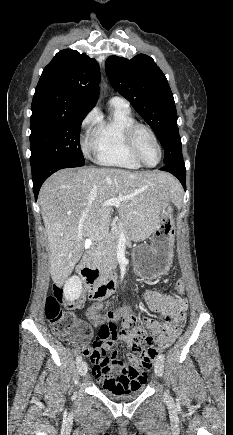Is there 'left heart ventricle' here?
Returning a JSON list of instances; mask_svg holds the SVG:
<instances>
[{
    "mask_svg": "<svg viewBox=\"0 0 233 435\" xmlns=\"http://www.w3.org/2000/svg\"><path fill=\"white\" fill-rule=\"evenodd\" d=\"M137 145L141 157L149 164L154 165L159 160L158 149L152 138L145 131H140L137 135Z\"/></svg>",
    "mask_w": 233,
    "mask_h": 435,
    "instance_id": "obj_1",
    "label": "left heart ventricle"
}]
</instances>
